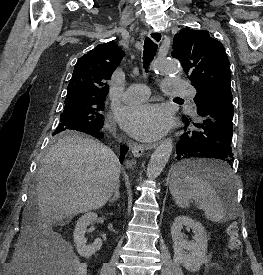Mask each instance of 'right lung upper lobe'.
<instances>
[{"mask_svg":"<svg viewBox=\"0 0 263 275\" xmlns=\"http://www.w3.org/2000/svg\"><path fill=\"white\" fill-rule=\"evenodd\" d=\"M124 52L116 43L96 46L76 63L67 88V97L78 95L104 96L108 94L107 80L120 64Z\"/></svg>","mask_w":263,"mask_h":275,"instance_id":"cb5924a9","label":"right lung upper lobe"}]
</instances>
